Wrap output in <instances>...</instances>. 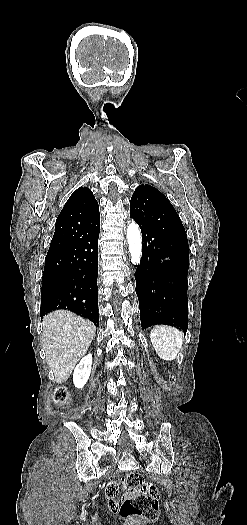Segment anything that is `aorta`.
Masks as SVG:
<instances>
[{
    "label": "aorta",
    "mask_w": 247,
    "mask_h": 525,
    "mask_svg": "<svg viewBox=\"0 0 247 525\" xmlns=\"http://www.w3.org/2000/svg\"><path fill=\"white\" fill-rule=\"evenodd\" d=\"M127 242L131 262L139 264L142 256V236L139 226L134 222L127 227Z\"/></svg>",
    "instance_id": "1"
}]
</instances>
